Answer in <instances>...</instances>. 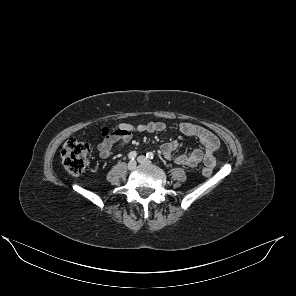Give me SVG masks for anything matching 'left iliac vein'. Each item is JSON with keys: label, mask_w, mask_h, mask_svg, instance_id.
I'll list each match as a JSON object with an SVG mask.
<instances>
[{"label": "left iliac vein", "mask_w": 296, "mask_h": 296, "mask_svg": "<svg viewBox=\"0 0 296 296\" xmlns=\"http://www.w3.org/2000/svg\"><path fill=\"white\" fill-rule=\"evenodd\" d=\"M138 162L140 164H144V165H149L150 164V161L145 157V156H139L137 158Z\"/></svg>", "instance_id": "1"}]
</instances>
